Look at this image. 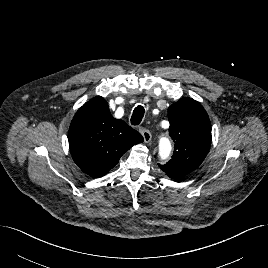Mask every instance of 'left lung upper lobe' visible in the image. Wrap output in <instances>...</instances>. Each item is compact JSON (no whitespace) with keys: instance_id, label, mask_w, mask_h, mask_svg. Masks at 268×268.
Here are the masks:
<instances>
[{"instance_id":"1","label":"left lung upper lobe","mask_w":268,"mask_h":268,"mask_svg":"<svg viewBox=\"0 0 268 268\" xmlns=\"http://www.w3.org/2000/svg\"><path fill=\"white\" fill-rule=\"evenodd\" d=\"M168 120L175 151L168 163L159 166L168 177L179 179L205 159L211 144V125L202 105L187 97L168 108Z\"/></svg>"}]
</instances>
